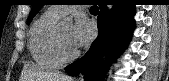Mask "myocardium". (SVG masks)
Returning <instances> with one entry per match:
<instances>
[{"label":"myocardium","mask_w":169,"mask_h":81,"mask_svg":"<svg viewBox=\"0 0 169 81\" xmlns=\"http://www.w3.org/2000/svg\"><path fill=\"white\" fill-rule=\"evenodd\" d=\"M54 50H55L56 56L58 57L61 63H67L73 60L74 58H76L78 55V51L75 49L70 53H66L64 51L62 44H61L60 32H59L58 26L56 27L55 33H54Z\"/></svg>","instance_id":"1"}]
</instances>
